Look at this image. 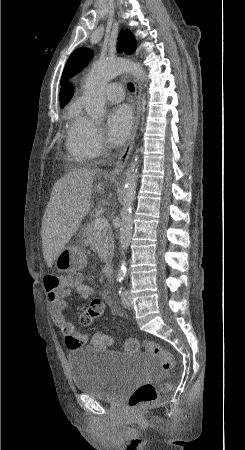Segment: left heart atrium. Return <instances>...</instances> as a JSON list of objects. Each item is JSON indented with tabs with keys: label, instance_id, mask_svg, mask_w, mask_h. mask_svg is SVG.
<instances>
[{
	"label": "left heart atrium",
	"instance_id": "39dd6f15",
	"mask_svg": "<svg viewBox=\"0 0 245 450\" xmlns=\"http://www.w3.org/2000/svg\"><path fill=\"white\" fill-rule=\"evenodd\" d=\"M133 124V112L127 105L116 106L107 116V136L112 146L123 144Z\"/></svg>",
	"mask_w": 245,
	"mask_h": 450
}]
</instances>
